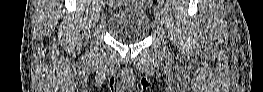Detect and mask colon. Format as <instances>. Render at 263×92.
Here are the masks:
<instances>
[{"instance_id": "1", "label": "colon", "mask_w": 263, "mask_h": 92, "mask_svg": "<svg viewBox=\"0 0 263 92\" xmlns=\"http://www.w3.org/2000/svg\"><path fill=\"white\" fill-rule=\"evenodd\" d=\"M138 2H139V5H141V4H142L140 1H138ZM148 2H150V1H148Z\"/></svg>"}]
</instances>
